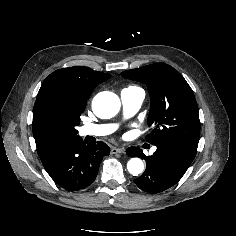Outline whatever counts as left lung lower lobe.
Returning <instances> with one entry per match:
<instances>
[{
    "instance_id": "left-lung-lower-lobe-1",
    "label": "left lung lower lobe",
    "mask_w": 236,
    "mask_h": 236,
    "mask_svg": "<svg viewBox=\"0 0 236 236\" xmlns=\"http://www.w3.org/2000/svg\"><path fill=\"white\" fill-rule=\"evenodd\" d=\"M157 150L152 156L145 157L142 150L128 148L130 157L146 160V170L135 184L143 191L156 194L175 185L185 174L194 160L197 150L173 143L156 144Z\"/></svg>"
}]
</instances>
